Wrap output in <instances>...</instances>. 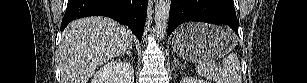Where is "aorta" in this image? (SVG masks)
<instances>
[{
  "mask_svg": "<svg viewBox=\"0 0 307 83\" xmlns=\"http://www.w3.org/2000/svg\"><path fill=\"white\" fill-rule=\"evenodd\" d=\"M171 0L155 1V31L157 38L163 39L167 31Z\"/></svg>",
  "mask_w": 307,
  "mask_h": 83,
  "instance_id": "1",
  "label": "aorta"
}]
</instances>
